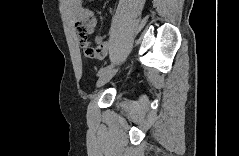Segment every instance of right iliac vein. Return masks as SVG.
<instances>
[{
    "mask_svg": "<svg viewBox=\"0 0 239 156\" xmlns=\"http://www.w3.org/2000/svg\"><path fill=\"white\" fill-rule=\"evenodd\" d=\"M118 69L111 67L110 69H108L104 74H102L97 83H96V88H100L103 85H105L107 82H109L112 77L117 73Z\"/></svg>",
    "mask_w": 239,
    "mask_h": 156,
    "instance_id": "1",
    "label": "right iliac vein"
}]
</instances>
